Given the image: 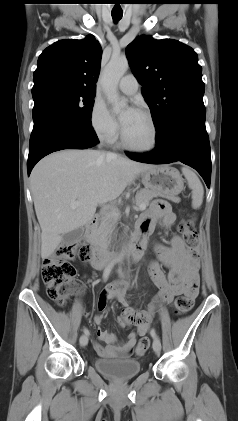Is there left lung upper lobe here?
Wrapping results in <instances>:
<instances>
[{
    "mask_svg": "<svg viewBox=\"0 0 238 421\" xmlns=\"http://www.w3.org/2000/svg\"><path fill=\"white\" fill-rule=\"evenodd\" d=\"M126 55L142 85L157 135L181 114L205 110L202 67L191 47L176 40L141 36L127 46Z\"/></svg>",
    "mask_w": 238,
    "mask_h": 421,
    "instance_id": "5c2ea615",
    "label": "left lung upper lobe"
}]
</instances>
